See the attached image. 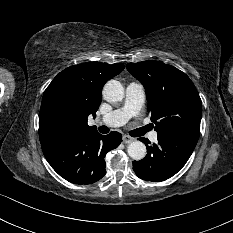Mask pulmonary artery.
Here are the masks:
<instances>
[{
	"label": "pulmonary artery",
	"mask_w": 233,
	"mask_h": 233,
	"mask_svg": "<svg viewBox=\"0 0 233 233\" xmlns=\"http://www.w3.org/2000/svg\"><path fill=\"white\" fill-rule=\"evenodd\" d=\"M145 89L139 84L132 82L125 90V101L122 107L111 111L97 120L106 126L116 127L125 124L131 117L137 115L144 105ZM158 138L157 132L153 131L149 139L155 142Z\"/></svg>",
	"instance_id": "pulmonary-artery-1"
}]
</instances>
